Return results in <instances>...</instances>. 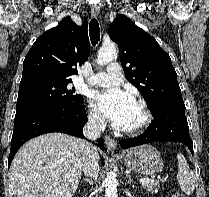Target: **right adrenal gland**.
Segmentation results:
<instances>
[{"label": "right adrenal gland", "mask_w": 209, "mask_h": 197, "mask_svg": "<svg viewBox=\"0 0 209 197\" xmlns=\"http://www.w3.org/2000/svg\"><path fill=\"white\" fill-rule=\"evenodd\" d=\"M84 180H85L86 182H89V180H88L87 178H85ZM82 182H83V181H81V183H82Z\"/></svg>", "instance_id": "1"}]
</instances>
